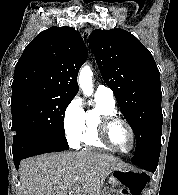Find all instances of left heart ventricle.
<instances>
[{"mask_svg":"<svg viewBox=\"0 0 178 195\" xmlns=\"http://www.w3.org/2000/svg\"><path fill=\"white\" fill-rule=\"evenodd\" d=\"M110 140L115 147L124 151L130 149L132 145L131 136L127 128L122 124H116L112 127Z\"/></svg>","mask_w":178,"mask_h":195,"instance_id":"obj_1","label":"left heart ventricle"}]
</instances>
